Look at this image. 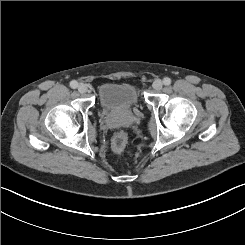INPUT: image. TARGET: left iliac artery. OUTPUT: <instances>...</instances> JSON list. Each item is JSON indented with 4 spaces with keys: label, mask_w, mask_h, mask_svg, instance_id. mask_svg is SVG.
Returning a JSON list of instances; mask_svg holds the SVG:
<instances>
[{
    "label": "left iliac artery",
    "mask_w": 245,
    "mask_h": 245,
    "mask_svg": "<svg viewBox=\"0 0 245 245\" xmlns=\"http://www.w3.org/2000/svg\"><path fill=\"white\" fill-rule=\"evenodd\" d=\"M163 83H164V85H170L171 84V79L166 77V78L163 79Z\"/></svg>",
    "instance_id": "44dca946"
}]
</instances>
